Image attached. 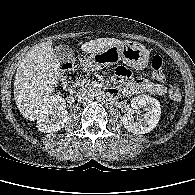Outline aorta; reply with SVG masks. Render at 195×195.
Wrapping results in <instances>:
<instances>
[{
	"mask_svg": "<svg viewBox=\"0 0 195 195\" xmlns=\"http://www.w3.org/2000/svg\"><path fill=\"white\" fill-rule=\"evenodd\" d=\"M105 97H106V95H105V92H104V91H98V92H96V94H95V98H96L98 101L103 100Z\"/></svg>",
	"mask_w": 195,
	"mask_h": 195,
	"instance_id": "1",
	"label": "aorta"
}]
</instances>
